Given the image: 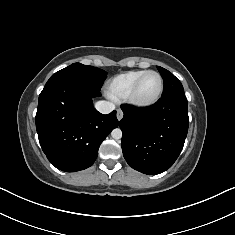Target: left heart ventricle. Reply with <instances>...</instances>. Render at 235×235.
I'll return each mask as SVG.
<instances>
[{"label": "left heart ventricle", "instance_id": "1", "mask_svg": "<svg viewBox=\"0 0 235 235\" xmlns=\"http://www.w3.org/2000/svg\"><path fill=\"white\" fill-rule=\"evenodd\" d=\"M159 90V78L155 74L146 75L138 86L136 98L147 101L156 96Z\"/></svg>", "mask_w": 235, "mask_h": 235}]
</instances>
